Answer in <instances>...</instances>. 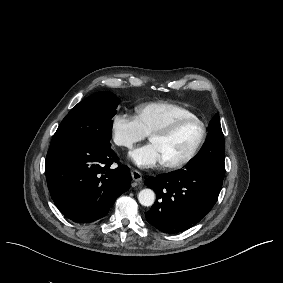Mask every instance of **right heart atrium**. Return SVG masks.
Here are the masks:
<instances>
[{
	"label": "right heart atrium",
	"mask_w": 283,
	"mask_h": 283,
	"mask_svg": "<svg viewBox=\"0 0 283 283\" xmlns=\"http://www.w3.org/2000/svg\"><path fill=\"white\" fill-rule=\"evenodd\" d=\"M109 129L112 142L121 148H131L147 137L138 116L127 112L113 113Z\"/></svg>",
	"instance_id": "obj_1"
}]
</instances>
